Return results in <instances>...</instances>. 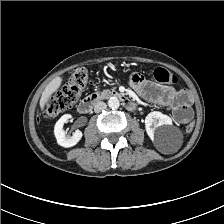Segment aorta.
I'll return each mask as SVG.
<instances>
[{
	"label": "aorta",
	"instance_id": "aorta-1",
	"mask_svg": "<svg viewBox=\"0 0 224 224\" xmlns=\"http://www.w3.org/2000/svg\"><path fill=\"white\" fill-rule=\"evenodd\" d=\"M108 106H109L111 109H117V108H119V106H120L119 99H118L117 97H111V98L108 100Z\"/></svg>",
	"mask_w": 224,
	"mask_h": 224
}]
</instances>
